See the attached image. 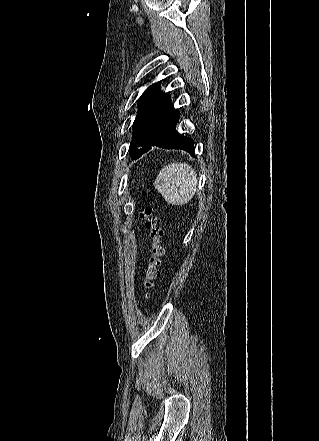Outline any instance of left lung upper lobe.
<instances>
[{
    "label": "left lung upper lobe",
    "instance_id": "5c2ea615",
    "mask_svg": "<svg viewBox=\"0 0 319 441\" xmlns=\"http://www.w3.org/2000/svg\"><path fill=\"white\" fill-rule=\"evenodd\" d=\"M178 110L173 107L170 95L160 91L157 82L143 93L138 102V112L133 123L130 156L138 159L145 152L160 127Z\"/></svg>",
    "mask_w": 319,
    "mask_h": 441
}]
</instances>
